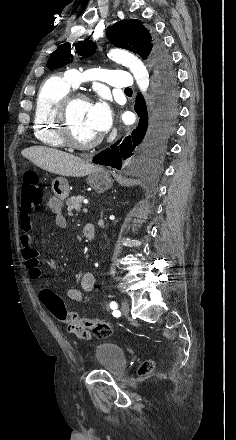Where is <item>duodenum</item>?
Here are the masks:
<instances>
[{
  "mask_svg": "<svg viewBox=\"0 0 236 440\" xmlns=\"http://www.w3.org/2000/svg\"><path fill=\"white\" fill-rule=\"evenodd\" d=\"M84 235L87 239L92 240L95 237V227L92 224H86L83 229Z\"/></svg>",
  "mask_w": 236,
  "mask_h": 440,
  "instance_id": "1",
  "label": "duodenum"
}]
</instances>
